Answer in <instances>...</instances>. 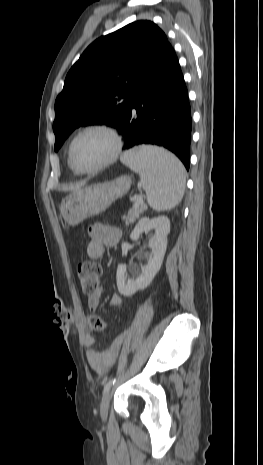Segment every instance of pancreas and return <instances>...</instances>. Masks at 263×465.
Returning a JSON list of instances; mask_svg holds the SVG:
<instances>
[{
  "label": "pancreas",
  "instance_id": "pancreas-1",
  "mask_svg": "<svg viewBox=\"0 0 263 465\" xmlns=\"http://www.w3.org/2000/svg\"><path fill=\"white\" fill-rule=\"evenodd\" d=\"M146 210V206L141 203L138 206H133L129 211L127 216H124L123 219L125 220V224L129 226L130 224L134 223L139 216Z\"/></svg>",
  "mask_w": 263,
  "mask_h": 465
}]
</instances>
